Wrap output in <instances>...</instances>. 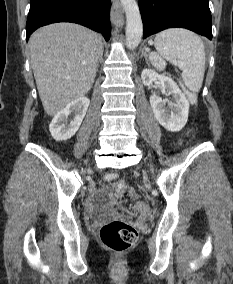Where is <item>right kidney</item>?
<instances>
[{"mask_svg":"<svg viewBox=\"0 0 233 284\" xmlns=\"http://www.w3.org/2000/svg\"><path fill=\"white\" fill-rule=\"evenodd\" d=\"M90 100L87 97H80L71 101L61 110L49 125L52 137L57 141L70 139L79 129ZM69 116L73 119L69 120Z\"/></svg>","mask_w":233,"mask_h":284,"instance_id":"obj_1","label":"right kidney"}]
</instances>
